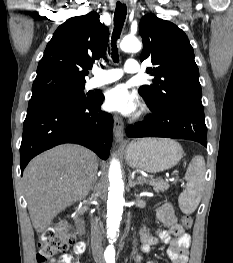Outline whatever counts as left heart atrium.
Wrapping results in <instances>:
<instances>
[{
  "label": "left heart atrium",
  "instance_id": "1",
  "mask_svg": "<svg viewBox=\"0 0 233 263\" xmlns=\"http://www.w3.org/2000/svg\"><path fill=\"white\" fill-rule=\"evenodd\" d=\"M104 107L111 112L130 115L136 111L138 99L124 84H119L107 91Z\"/></svg>",
  "mask_w": 233,
  "mask_h": 263
}]
</instances>
